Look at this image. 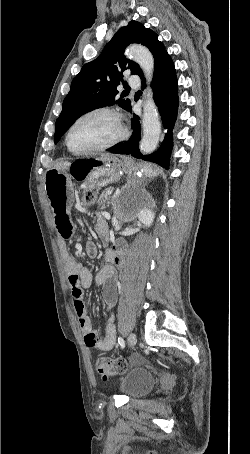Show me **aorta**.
<instances>
[{
  "mask_svg": "<svg viewBox=\"0 0 250 454\" xmlns=\"http://www.w3.org/2000/svg\"><path fill=\"white\" fill-rule=\"evenodd\" d=\"M126 55L139 64L147 83L150 84L154 71V59L151 52L142 45L132 44L127 48ZM142 126L143 137L140 142V150L144 154H149L156 149L161 134L159 113L149 86L145 91Z\"/></svg>",
  "mask_w": 250,
  "mask_h": 454,
  "instance_id": "aorta-1",
  "label": "aorta"
}]
</instances>
